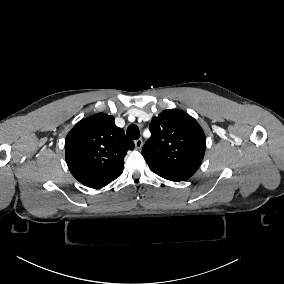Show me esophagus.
Wrapping results in <instances>:
<instances>
[{
    "label": "esophagus",
    "instance_id": "esophagus-1",
    "mask_svg": "<svg viewBox=\"0 0 284 284\" xmlns=\"http://www.w3.org/2000/svg\"><path fill=\"white\" fill-rule=\"evenodd\" d=\"M142 146H143V141H142V139H137V140H135V147H136L137 149H140Z\"/></svg>",
    "mask_w": 284,
    "mask_h": 284
}]
</instances>
